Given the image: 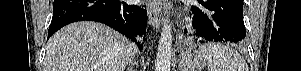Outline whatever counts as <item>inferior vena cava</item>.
Returning a JSON list of instances; mask_svg holds the SVG:
<instances>
[{
	"label": "inferior vena cava",
	"mask_w": 301,
	"mask_h": 71,
	"mask_svg": "<svg viewBox=\"0 0 301 71\" xmlns=\"http://www.w3.org/2000/svg\"><path fill=\"white\" fill-rule=\"evenodd\" d=\"M137 40H139V41H141L142 40V38L141 37H137ZM134 45V44H133ZM134 48H135V50L137 51V48H136V46L134 45Z\"/></svg>",
	"instance_id": "602c4592"
}]
</instances>
